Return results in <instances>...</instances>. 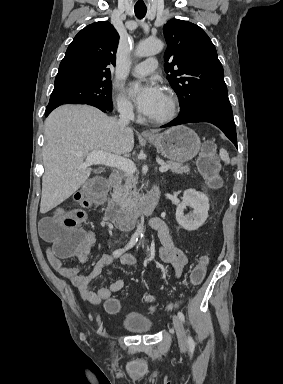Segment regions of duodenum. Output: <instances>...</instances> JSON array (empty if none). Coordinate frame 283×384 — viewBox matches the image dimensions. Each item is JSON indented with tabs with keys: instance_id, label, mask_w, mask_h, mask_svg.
<instances>
[{
	"instance_id": "1",
	"label": "duodenum",
	"mask_w": 283,
	"mask_h": 384,
	"mask_svg": "<svg viewBox=\"0 0 283 384\" xmlns=\"http://www.w3.org/2000/svg\"><path fill=\"white\" fill-rule=\"evenodd\" d=\"M109 180L116 186L121 183V176L118 172L110 174ZM160 199V189L154 186L136 209L123 211L115 204H109L105 208V216L118 229H128L134 227L142 218L148 216L158 205Z\"/></svg>"
}]
</instances>
